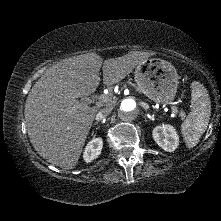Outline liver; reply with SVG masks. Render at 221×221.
Masks as SVG:
<instances>
[{
	"instance_id": "obj_1",
	"label": "liver",
	"mask_w": 221,
	"mask_h": 221,
	"mask_svg": "<svg viewBox=\"0 0 221 221\" xmlns=\"http://www.w3.org/2000/svg\"><path fill=\"white\" fill-rule=\"evenodd\" d=\"M153 52L131 51L103 59L88 53L60 61L33 85L25 103V120L30 141L47 162L70 170L80 158L98 111L77 98L94 93L100 83L107 86L123 80Z\"/></svg>"
}]
</instances>
